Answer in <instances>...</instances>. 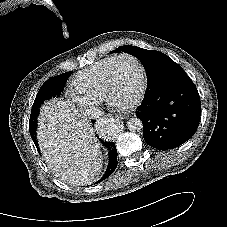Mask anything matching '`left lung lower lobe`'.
I'll return each instance as SVG.
<instances>
[{
    "label": "left lung lower lobe",
    "mask_w": 227,
    "mask_h": 227,
    "mask_svg": "<svg viewBox=\"0 0 227 227\" xmlns=\"http://www.w3.org/2000/svg\"><path fill=\"white\" fill-rule=\"evenodd\" d=\"M200 115L199 93L186 74L147 91L136 112L143 123L144 140L160 150L176 148L189 140L197 130Z\"/></svg>",
    "instance_id": "0a47b994"
}]
</instances>
